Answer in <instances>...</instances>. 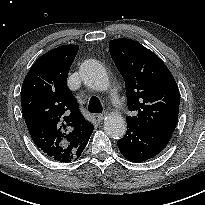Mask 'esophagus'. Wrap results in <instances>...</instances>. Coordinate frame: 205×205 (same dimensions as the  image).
<instances>
[{"label": "esophagus", "instance_id": "obj_1", "mask_svg": "<svg viewBox=\"0 0 205 205\" xmlns=\"http://www.w3.org/2000/svg\"><path fill=\"white\" fill-rule=\"evenodd\" d=\"M106 115H107V112L97 114V116H96L97 120L102 121L106 117Z\"/></svg>", "mask_w": 205, "mask_h": 205}]
</instances>
